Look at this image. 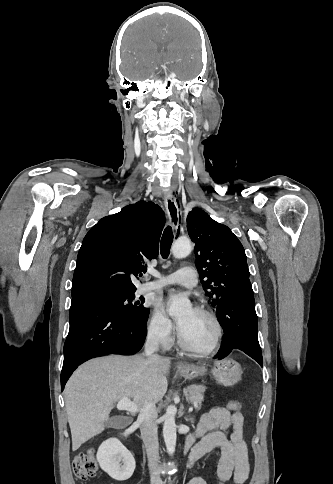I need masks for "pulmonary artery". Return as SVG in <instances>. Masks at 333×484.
I'll return each mask as SVG.
<instances>
[{"label":"pulmonary artery","instance_id":"pulmonary-artery-1","mask_svg":"<svg viewBox=\"0 0 333 484\" xmlns=\"http://www.w3.org/2000/svg\"><path fill=\"white\" fill-rule=\"evenodd\" d=\"M198 283L197 273L194 268L186 266L167 275L161 276L157 281L144 283L140 292H148L168 285H181L194 288Z\"/></svg>","mask_w":333,"mask_h":484}]
</instances>
